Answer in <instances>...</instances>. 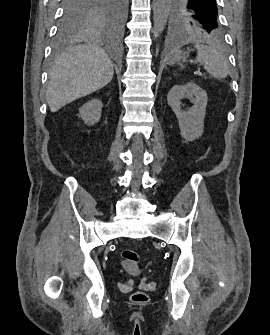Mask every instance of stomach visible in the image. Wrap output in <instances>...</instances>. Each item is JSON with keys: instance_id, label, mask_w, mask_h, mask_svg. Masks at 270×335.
Masks as SVG:
<instances>
[{"instance_id": "1", "label": "stomach", "mask_w": 270, "mask_h": 335, "mask_svg": "<svg viewBox=\"0 0 270 335\" xmlns=\"http://www.w3.org/2000/svg\"><path fill=\"white\" fill-rule=\"evenodd\" d=\"M185 54L186 52H181V54H174L173 60H175V62H179V66H182L181 62H185Z\"/></svg>"}]
</instances>
